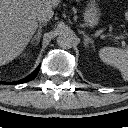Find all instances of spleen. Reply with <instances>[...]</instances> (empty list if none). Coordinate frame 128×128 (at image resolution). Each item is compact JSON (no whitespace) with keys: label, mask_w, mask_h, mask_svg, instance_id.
Listing matches in <instances>:
<instances>
[{"label":"spleen","mask_w":128,"mask_h":128,"mask_svg":"<svg viewBox=\"0 0 128 128\" xmlns=\"http://www.w3.org/2000/svg\"><path fill=\"white\" fill-rule=\"evenodd\" d=\"M102 62L118 68L122 77L128 81V50L114 47H104L99 51Z\"/></svg>","instance_id":"spleen-1"}]
</instances>
